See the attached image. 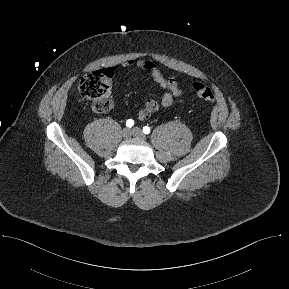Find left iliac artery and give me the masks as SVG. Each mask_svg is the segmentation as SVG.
Returning a JSON list of instances; mask_svg holds the SVG:
<instances>
[{
  "label": "left iliac artery",
  "mask_w": 289,
  "mask_h": 289,
  "mask_svg": "<svg viewBox=\"0 0 289 289\" xmlns=\"http://www.w3.org/2000/svg\"><path fill=\"white\" fill-rule=\"evenodd\" d=\"M143 133L149 134L150 133V128L148 126L143 127Z\"/></svg>",
  "instance_id": "1"
}]
</instances>
